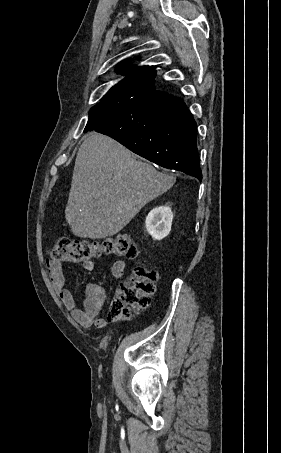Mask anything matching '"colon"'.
I'll return each instance as SVG.
<instances>
[{"mask_svg": "<svg viewBox=\"0 0 281 453\" xmlns=\"http://www.w3.org/2000/svg\"><path fill=\"white\" fill-rule=\"evenodd\" d=\"M139 249L132 239L109 238L91 240L87 238L58 237L50 259L53 262H94L102 257L136 258ZM158 273L145 266H138L127 278L112 305V312L122 314L129 310H142L150 302Z\"/></svg>", "mask_w": 281, "mask_h": 453, "instance_id": "obj_1", "label": "colon"}]
</instances>
